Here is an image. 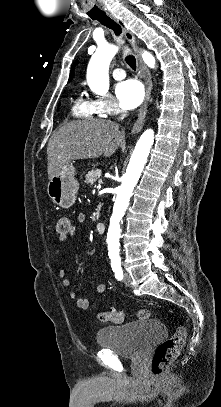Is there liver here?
I'll use <instances>...</instances> for the list:
<instances>
[{
	"label": "liver",
	"mask_w": 221,
	"mask_h": 407,
	"mask_svg": "<svg viewBox=\"0 0 221 407\" xmlns=\"http://www.w3.org/2000/svg\"><path fill=\"white\" fill-rule=\"evenodd\" d=\"M125 145L119 125L103 119L69 122L55 130L48 141V178L52 179L65 163L72 160L110 157Z\"/></svg>",
	"instance_id": "6515ba94"
}]
</instances>
